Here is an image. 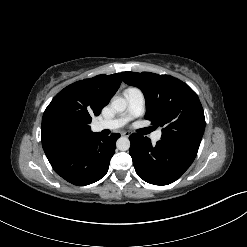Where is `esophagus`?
Masks as SVG:
<instances>
[{"mask_svg":"<svg viewBox=\"0 0 247 247\" xmlns=\"http://www.w3.org/2000/svg\"><path fill=\"white\" fill-rule=\"evenodd\" d=\"M122 136H125V137H129L131 135V133L129 131H123L121 133Z\"/></svg>","mask_w":247,"mask_h":247,"instance_id":"obj_1","label":"esophagus"}]
</instances>
